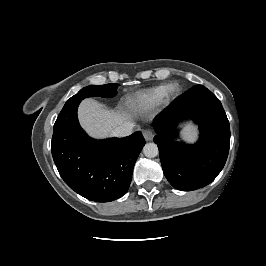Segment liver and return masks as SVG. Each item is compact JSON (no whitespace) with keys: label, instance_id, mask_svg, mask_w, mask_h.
Listing matches in <instances>:
<instances>
[{"label":"liver","instance_id":"6515ba94","mask_svg":"<svg viewBox=\"0 0 266 266\" xmlns=\"http://www.w3.org/2000/svg\"><path fill=\"white\" fill-rule=\"evenodd\" d=\"M78 117L86 132L96 138L112 135L116 127L129 120L126 114L108 111L93 99H85L81 102Z\"/></svg>","mask_w":266,"mask_h":266}]
</instances>
